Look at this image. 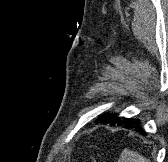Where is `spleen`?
<instances>
[{"instance_id":"spleen-1","label":"spleen","mask_w":168,"mask_h":162,"mask_svg":"<svg viewBox=\"0 0 168 162\" xmlns=\"http://www.w3.org/2000/svg\"><path fill=\"white\" fill-rule=\"evenodd\" d=\"M118 162H150V161L137 152L131 151L129 149H124Z\"/></svg>"}]
</instances>
